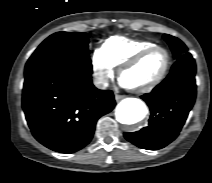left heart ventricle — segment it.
<instances>
[{
  "label": "left heart ventricle",
  "mask_w": 212,
  "mask_h": 183,
  "mask_svg": "<svg viewBox=\"0 0 212 183\" xmlns=\"http://www.w3.org/2000/svg\"><path fill=\"white\" fill-rule=\"evenodd\" d=\"M166 54L163 50H155L143 58L136 66L127 70L122 80L129 87H141L154 80L163 70Z\"/></svg>",
  "instance_id": "left-heart-ventricle-1"
}]
</instances>
